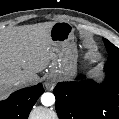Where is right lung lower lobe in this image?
<instances>
[{
	"instance_id": "1",
	"label": "right lung lower lobe",
	"mask_w": 119,
	"mask_h": 119,
	"mask_svg": "<svg viewBox=\"0 0 119 119\" xmlns=\"http://www.w3.org/2000/svg\"><path fill=\"white\" fill-rule=\"evenodd\" d=\"M44 92L41 83L21 89L0 102V119H27L37 99Z\"/></svg>"
}]
</instances>
